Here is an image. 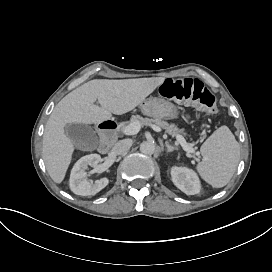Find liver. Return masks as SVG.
Wrapping results in <instances>:
<instances>
[{
	"instance_id": "obj_1",
	"label": "liver",
	"mask_w": 272,
	"mask_h": 272,
	"mask_svg": "<svg viewBox=\"0 0 272 272\" xmlns=\"http://www.w3.org/2000/svg\"><path fill=\"white\" fill-rule=\"evenodd\" d=\"M165 77L96 79L70 92L55 106L44 130L42 156L52 180L63 182L75 144L65 133L69 123L102 124L113 115H123L138 107ZM99 101L101 107L94 105Z\"/></svg>"
}]
</instances>
